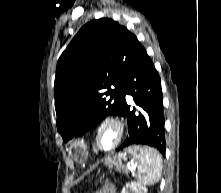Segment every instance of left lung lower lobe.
Returning <instances> with one entry per match:
<instances>
[{"instance_id":"0a47b994","label":"left lung lower lobe","mask_w":221,"mask_h":193,"mask_svg":"<svg viewBox=\"0 0 221 193\" xmlns=\"http://www.w3.org/2000/svg\"><path fill=\"white\" fill-rule=\"evenodd\" d=\"M126 94L132 96L140 107L138 110H129ZM121 95L124 101L122 116L127 117L129 136L118 150L132 145H149L165 155V120L160 77L142 45L138 47L126 69ZM149 107H154L159 115L153 124H148L146 120Z\"/></svg>"}]
</instances>
